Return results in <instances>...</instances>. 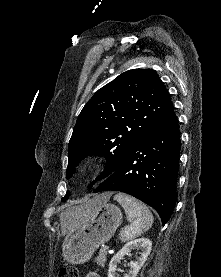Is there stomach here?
Returning a JSON list of instances; mask_svg holds the SVG:
<instances>
[{
  "label": "stomach",
  "instance_id": "0dacf381",
  "mask_svg": "<svg viewBox=\"0 0 221 277\" xmlns=\"http://www.w3.org/2000/svg\"><path fill=\"white\" fill-rule=\"evenodd\" d=\"M80 211L69 221L62 243L64 260L82 264L113 236L121 224V210L110 203H96V197L79 206Z\"/></svg>",
  "mask_w": 221,
  "mask_h": 277
}]
</instances>
